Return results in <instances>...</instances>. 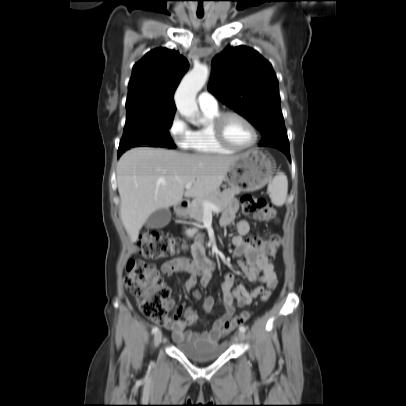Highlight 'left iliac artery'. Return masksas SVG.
<instances>
[{
    "label": "left iliac artery",
    "mask_w": 406,
    "mask_h": 406,
    "mask_svg": "<svg viewBox=\"0 0 406 406\" xmlns=\"http://www.w3.org/2000/svg\"><path fill=\"white\" fill-rule=\"evenodd\" d=\"M239 330H240L241 332H245V331H246V328H245L244 326H240V327H239Z\"/></svg>",
    "instance_id": "obj_1"
}]
</instances>
